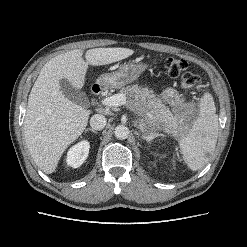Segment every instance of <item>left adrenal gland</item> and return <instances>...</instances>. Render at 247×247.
Returning <instances> with one entry per match:
<instances>
[{
    "label": "left adrenal gland",
    "mask_w": 247,
    "mask_h": 247,
    "mask_svg": "<svg viewBox=\"0 0 247 247\" xmlns=\"http://www.w3.org/2000/svg\"><path fill=\"white\" fill-rule=\"evenodd\" d=\"M158 136H163V134L157 133V132H151L148 136H143L142 138L145 139L148 143H150L151 140Z\"/></svg>",
    "instance_id": "left-adrenal-gland-1"
}]
</instances>
